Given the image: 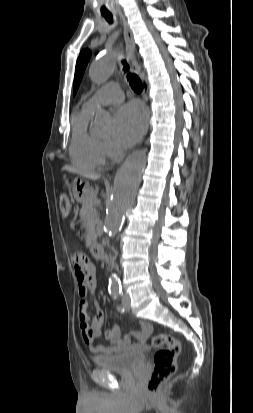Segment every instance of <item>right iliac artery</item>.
Listing matches in <instances>:
<instances>
[{
    "label": "right iliac artery",
    "instance_id": "right-iliac-artery-1",
    "mask_svg": "<svg viewBox=\"0 0 253 413\" xmlns=\"http://www.w3.org/2000/svg\"><path fill=\"white\" fill-rule=\"evenodd\" d=\"M119 293H120V290H113L112 292H110V295H112L115 299H117L119 296ZM118 311L123 313L124 309L123 308L121 309V307L118 306Z\"/></svg>",
    "mask_w": 253,
    "mask_h": 413
}]
</instances>
